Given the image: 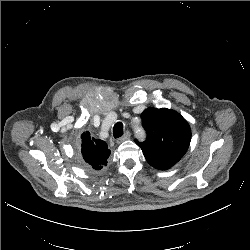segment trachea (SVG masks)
I'll return each mask as SVG.
<instances>
[{
    "label": "trachea",
    "mask_w": 250,
    "mask_h": 250,
    "mask_svg": "<svg viewBox=\"0 0 250 250\" xmlns=\"http://www.w3.org/2000/svg\"><path fill=\"white\" fill-rule=\"evenodd\" d=\"M123 135V124L118 122L113 127V136L114 138H119Z\"/></svg>",
    "instance_id": "1"
}]
</instances>
